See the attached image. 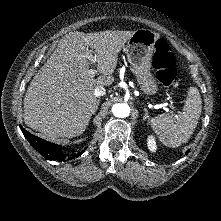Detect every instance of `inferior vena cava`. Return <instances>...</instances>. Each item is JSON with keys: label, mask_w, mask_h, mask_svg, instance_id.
Here are the masks:
<instances>
[{"label": "inferior vena cava", "mask_w": 221, "mask_h": 221, "mask_svg": "<svg viewBox=\"0 0 221 221\" xmlns=\"http://www.w3.org/2000/svg\"><path fill=\"white\" fill-rule=\"evenodd\" d=\"M106 94V90L103 86H98L94 90L95 97H100Z\"/></svg>", "instance_id": "inferior-vena-cava-1"}]
</instances>
